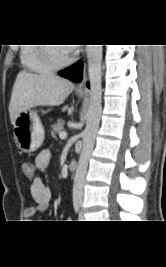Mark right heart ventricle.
<instances>
[{
  "label": "right heart ventricle",
  "instance_id": "1",
  "mask_svg": "<svg viewBox=\"0 0 166 267\" xmlns=\"http://www.w3.org/2000/svg\"><path fill=\"white\" fill-rule=\"evenodd\" d=\"M36 44L24 45L20 49V61L22 66L32 72L48 73L54 68L47 64L41 56L40 46Z\"/></svg>",
  "mask_w": 166,
  "mask_h": 267
}]
</instances>
